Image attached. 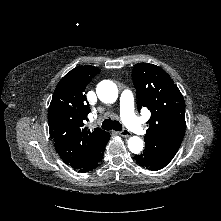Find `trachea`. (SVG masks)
I'll return each mask as SVG.
<instances>
[{
  "label": "trachea",
  "instance_id": "3493384b",
  "mask_svg": "<svg viewBox=\"0 0 221 221\" xmlns=\"http://www.w3.org/2000/svg\"><path fill=\"white\" fill-rule=\"evenodd\" d=\"M102 128L104 130H115V131H121L122 130V124L119 121L111 120V119H105L102 123Z\"/></svg>",
  "mask_w": 221,
  "mask_h": 221
}]
</instances>
